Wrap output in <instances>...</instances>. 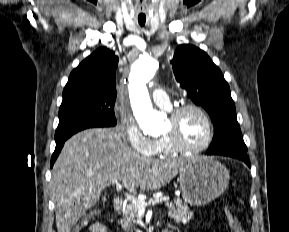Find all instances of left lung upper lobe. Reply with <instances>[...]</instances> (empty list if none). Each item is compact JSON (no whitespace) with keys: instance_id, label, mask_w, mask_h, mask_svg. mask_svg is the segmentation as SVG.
<instances>
[{"instance_id":"5c2ea615","label":"left lung upper lobe","mask_w":289,"mask_h":232,"mask_svg":"<svg viewBox=\"0 0 289 232\" xmlns=\"http://www.w3.org/2000/svg\"><path fill=\"white\" fill-rule=\"evenodd\" d=\"M170 63L180 87L211 117L214 137L207 154L246 152L229 85L210 57L203 50L184 44L176 48Z\"/></svg>"}]
</instances>
